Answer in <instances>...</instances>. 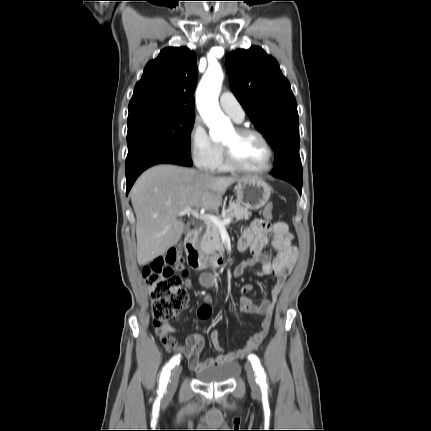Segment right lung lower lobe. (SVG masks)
<instances>
[{
  "instance_id": "obj_1",
  "label": "right lung lower lobe",
  "mask_w": 431,
  "mask_h": 431,
  "mask_svg": "<svg viewBox=\"0 0 431 431\" xmlns=\"http://www.w3.org/2000/svg\"><path fill=\"white\" fill-rule=\"evenodd\" d=\"M159 163L192 165L190 155L173 145L163 141L145 142L128 150L126 158L127 194L137 177L145 169Z\"/></svg>"
}]
</instances>
